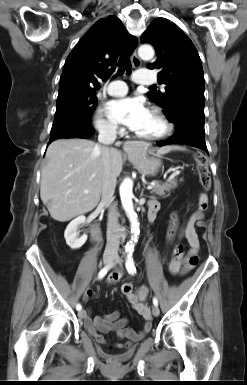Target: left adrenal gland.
I'll return each mask as SVG.
<instances>
[{"label": "left adrenal gland", "mask_w": 247, "mask_h": 385, "mask_svg": "<svg viewBox=\"0 0 247 385\" xmlns=\"http://www.w3.org/2000/svg\"><path fill=\"white\" fill-rule=\"evenodd\" d=\"M141 195H143V190H142V192H141Z\"/></svg>", "instance_id": "left-adrenal-gland-1"}]
</instances>
